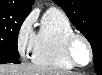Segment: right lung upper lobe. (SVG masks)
Returning a JSON list of instances; mask_svg holds the SVG:
<instances>
[{
  "mask_svg": "<svg viewBox=\"0 0 102 75\" xmlns=\"http://www.w3.org/2000/svg\"><path fill=\"white\" fill-rule=\"evenodd\" d=\"M34 0H0V8L30 13Z\"/></svg>",
  "mask_w": 102,
  "mask_h": 75,
  "instance_id": "cb5924a9",
  "label": "right lung upper lobe"
}]
</instances>
